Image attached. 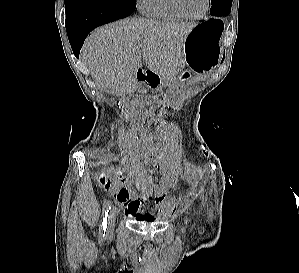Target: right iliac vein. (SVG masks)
Returning <instances> with one entry per match:
<instances>
[{"instance_id": "63e3f726", "label": "right iliac vein", "mask_w": 299, "mask_h": 273, "mask_svg": "<svg viewBox=\"0 0 299 273\" xmlns=\"http://www.w3.org/2000/svg\"><path fill=\"white\" fill-rule=\"evenodd\" d=\"M117 209L116 207H112L110 209L109 215H108V231L110 232L114 226L115 219H116Z\"/></svg>"}]
</instances>
